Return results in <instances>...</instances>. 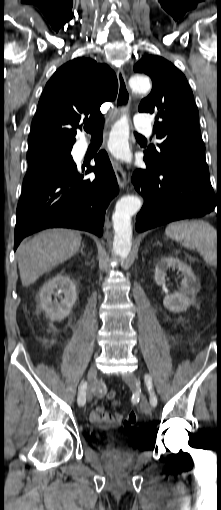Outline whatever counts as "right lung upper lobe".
<instances>
[{"label": "right lung upper lobe", "mask_w": 221, "mask_h": 510, "mask_svg": "<svg viewBox=\"0 0 221 510\" xmlns=\"http://www.w3.org/2000/svg\"><path fill=\"white\" fill-rule=\"evenodd\" d=\"M118 82L113 70L79 57L61 66L47 82L32 120L29 151L44 147L72 148L76 129L102 117L100 106L115 99Z\"/></svg>", "instance_id": "cb5924a9"}]
</instances>
